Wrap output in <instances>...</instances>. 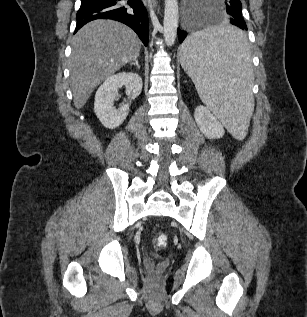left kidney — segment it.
<instances>
[{"instance_id": "5707ae66", "label": "left kidney", "mask_w": 307, "mask_h": 317, "mask_svg": "<svg viewBox=\"0 0 307 317\" xmlns=\"http://www.w3.org/2000/svg\"><path fill=\"white\" fill-rule=\"evenodd\" d=\"M200 131L209 139L221 138L225 130L217 118L204 106H198L194 112Z\"/></svg>"}]
</instances>
